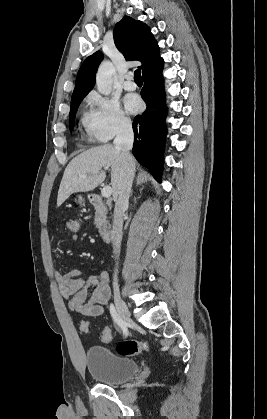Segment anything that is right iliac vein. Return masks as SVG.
I'll return each instance as SVG.
<instances>
[{
	"label": "right iliac vein",
	"instance_id": "63e3f726",
	"mask_svg": "<svg viewBox=\"0 0 267 419\" xmlns=\"http://www.w3.org/2000/svg\"><path fill=\"white\" fill-rule=\"evenodd\" d=\"M115 304L119 316L126 324L129 325L132 322L131 315L126 303L121 299L119 294H115Z\"/></svg>",
	"mask_w": 267,
	"mask_h": 419
}]
</instances>
